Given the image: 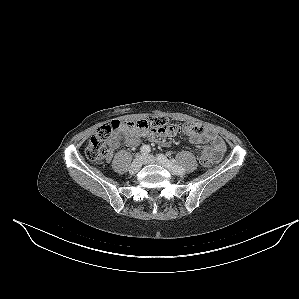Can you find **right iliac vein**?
Returning a JSON list of instances; mask_svg holds the SVG:
<instances>
[{"instance_id":"1","label":"right iliac vein","mask_w":299,"mask_h":299,"mask_svg":"<svg viewBox=\"0 0 299 299\" xmlns=\"http://www.w3.org/2000/svg\"><path fill=\"white\" fill-rule=\"evenodd\" d=\"M143 164V157L141 155L137 156L132 162L129 172L130 174H136Z\"/></svg>"}]
</instances>
